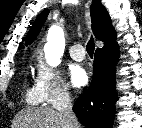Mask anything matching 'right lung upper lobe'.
Here are the masks:
<instances>
[{"mask_svg": "<svg viewBox=\"0 0 142 128\" xmlns=\"http://www.w3.org/2000/svg\"><path fill=\"white\" fill-rule=\"evenodd\" d=\"M48 10L43 11L34 21L30 28L27 37L26 45H30L41 30L43 23L48 15ZM92 31L98 40L104 42V47L115 45L116 32L111 25V19L101 4L100 0H93L90 8Z\"/></svg>", "mask_w": 142, "mask_h": 128, "instance_id": "1", "label": "right lung upper lobe"}]
</instances>
